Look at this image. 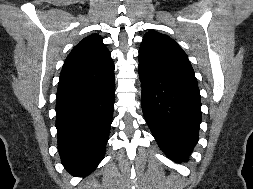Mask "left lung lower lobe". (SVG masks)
<instances>
[{
    "label": "left lung lower lobe",
    "instance_id": "left-lung-lower-lobe-1",
    "mask_svg": "<svg viewBox=\"0 0 253 189\" xmlns=\"http://www.w3.org/2000/svg\"><path fill=\"white\" fill-rule=\"evenodd\" d=\"M142 110L159 147L176 162L185 160L198 141L201 97L198 84L152 72L139 65Z\"/></svg>",
    "mask_w": 253,
    "mask_h": 189
}]
</instances>
